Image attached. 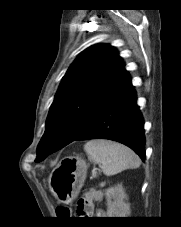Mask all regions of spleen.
<instances>
[{
    "label": "spleen",
    "instance_id": "spleen-1",
    "mask_svg": "<svg viewBox=\"0 0 181 227\" xmlns=\"http://www.w3.org/2000/svg\"><path fill=\"white\" fill-rule=\"evenodd\" d=\"M89 159L101 165L106 176L116 175L129 168H138L140 158L128 147L109 140H91L84 145Z\"/></svg>",
    "mask_w": 181,
    "mask_h": 227
}]
</instances>
